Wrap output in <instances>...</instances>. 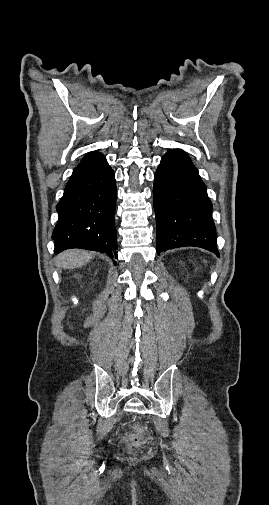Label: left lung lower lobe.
<instances>
[{"instance_id": "0a47b994", "label": "left lung lower lobe", "mask_w": 269, "mask_h": 505, "mask_svg": "<svg viewBox=\"0 0 269 505\" xmlns=\"http://www.w3.org/2000/svg\"><path fill=\"white\" fill-rule=\"evenodd\" d=\"M157 254L194 246L219 256L212 203L198 170L185 152L169 150L154 178Z\"/></svg>"}]
</instances>
